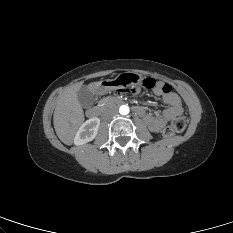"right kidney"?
<instances>
[{
    "label": "right kidney",
    "mask_w": 233,
    "mask_h": 233,
    "mask_svg": "<svg viewBox=\"0 0 233 233\" xmlns=\"http://www.w3.org/2000/svg\"><path fill=\"white\" fill-rule=\"evenodd\" d=\"M99 125L100 119L96 117L84 122L74 138L75 145H82L92 141L97 135Z\"/></svg>",
    "instance_id": "right-kidney-1"
}]
</instances>
